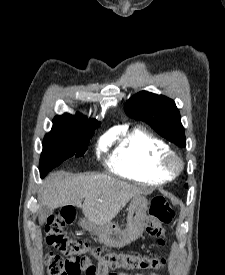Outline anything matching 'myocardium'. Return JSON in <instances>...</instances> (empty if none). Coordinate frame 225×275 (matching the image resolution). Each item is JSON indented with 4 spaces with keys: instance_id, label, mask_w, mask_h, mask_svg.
<instances>
[{
    "instance_id": "1",
    "label": "myocardium",
    "mask_w": 225,
    "mask_h": 275,
    "mask_svg": "<svg viewBox=\"0 0 225 275\" xmlns=\"http://www.w3.org/2000/svg\"><path fill=\"white\" fill-rule=\"evenodd\" d=\"M162 167L168 173L172 175H177L182 171L184 163L178 153L169 150L162 157Z\"/></svg>"
}]
</instances>
